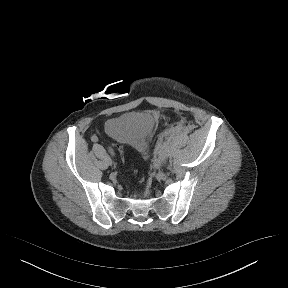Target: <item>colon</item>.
I'll list each match as a JSON object with an SVG mask.
<instances>
[{"label":"colon","mask_w":288,"mask_h":288,"mask_svg":"<svg viewBox=\"0 0 288 288\" xmlns=\"http://www.w3.org/2000/svg\"><path fill=\"white\" fill-rule=\"evenodd\" d=\"M114 147L119 150V155H120L121 159L123 160L124 159V151L122 149L121 144L120 143H115Z\"/></svg>","instance_id":"obj_1"}]
</instances>
